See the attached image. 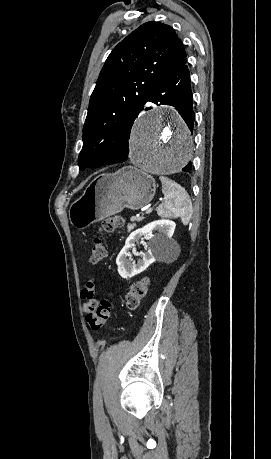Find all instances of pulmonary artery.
I'll return each mask as SVG.
<instances>
[{
    "mask_svg": "<svg viewBox=\"0 0 271 459\" xmlns=\"http://www.w3.org/2000/svg\"><path fill=\"white\" fill-rule=\"evenodd\" d=\"M145 107H146L148 110H151V109L154 107V104L152 103V100H151V99H148V100H147V103L145 104Z\"/></svg>",
    "mask_w": 271,
    "mask_h": 459,
    "instance_id": "obj_1",
    "label": "pulmonary artery"
}]
</instances>
